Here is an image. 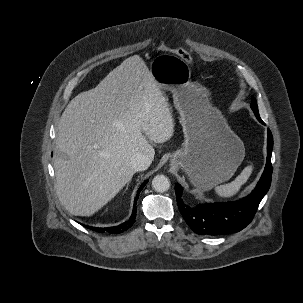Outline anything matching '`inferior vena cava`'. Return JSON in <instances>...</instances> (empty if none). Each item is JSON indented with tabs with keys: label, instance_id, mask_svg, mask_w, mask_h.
<instances>
[{
	"label": "inferior vena cava",
	"instance_id": "obj_1",
	"mask_svg": "<svg viewBox=\"0 0 303 303\" xmlns=\"http://www.w3.org/2000/svg\"><path fill=\"white\" fill-rule=\"evenodd\" d=\"M151 162L152 159L143 153H137L131 158V166L135 172L146 170Z\"/></svg>",
	"mask_w": 303,
	"mask_h": 303
}]
</instances>
